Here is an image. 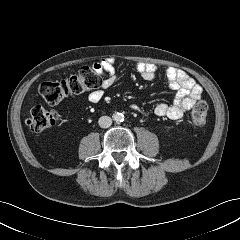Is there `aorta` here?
<instances>
[{"mask_svg": "<svg viewBox=\"0 0 240 240\" xmlns=\"http://www.w3.org/2000/svg\"><path fill=\"white\" fill-rule=\"evenodd\" d=\"M113 119L116 122H122L124 120V115L122 113H115Z\"/></svg>", "mask_w": 240, "mask_h": 240, "instance_id": "1", "label": "aorta"}]
</instances>
